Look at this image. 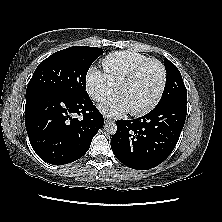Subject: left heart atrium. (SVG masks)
I'll use <instances>...</instances> for the list:
<instances>
[{
  "mask_svg": "<svg viewBox=\"0 0 222 222\" xmlns=\"http://www.w3.org/2000/svg\"><path fill=\"white\" fill-rule=\"evenodd\" d=\"M100 110L107 116L119 117L130 109L121 94L113 96L99 105Z\"/></svg>",
  "mask_w": 222,
  "mask_h": 222,
  "instance_id": "39dd6f15",
  "label": "left heart atrium"
}]
</instances>
